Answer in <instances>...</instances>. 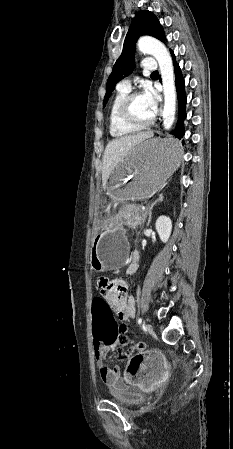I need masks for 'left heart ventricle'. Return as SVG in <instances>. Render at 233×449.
<instances>
[{"label": "left heart ventricle", "mask_w": 233, "mask_h": 449, "mask_svg": "<svg viewBox=\"0 0 233 449\" xmlns=\"http://www.w3.org/2000/svg\"><path fill=\"white\" fill-rule=\"evenodd\" d=\"M131 111L133 116L139 121H146L153 116L143 95H139L132 101Z\"/></svg>", "instance_id": "1"}]
</instances>
